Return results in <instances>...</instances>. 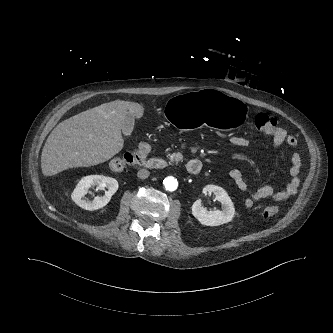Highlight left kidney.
<instances>
[{
  "instance_id": "5707ae66",
  "label": "left kidney",
  "mask_w": 333,
  "mask_h": 333,
  "mask_svg": "<svg viewBox=\"0 0 333 333\" xmlns=\"http://www.w3.org/2000/svg\"><path fill=\"white\" fill-rule=\"evenodd\" d=\"M203 193H213L216 200L221 202L222 211H208L207 208L201 205L200 200L195 201L192 205V214L201 224L206 226H219L233 219L235 214L233 202L222 187L207 185L203 188Z\"/></svg>"
}]
</instances>
